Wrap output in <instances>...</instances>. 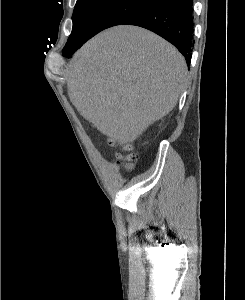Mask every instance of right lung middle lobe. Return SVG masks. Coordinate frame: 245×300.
Returning <instances> with one entry per match:
<instances>
[{
    "label": "right lung middle lobe",
    "mask_w": 245,
    "mask_h": 300,
    "mask_svg": "<svg viewBox=\"0 0 245 300\" xmlns=\"http://www.w3.org/2000/svg\"><path fill=\"white\" fill-rule=\"evenodd\" d=\"M157 0H77L73 29L63 52L84 44L100 31L123 24Z\"/></svg>",
    "instance_id": "dd1d6c3e"
}]
</instances>
